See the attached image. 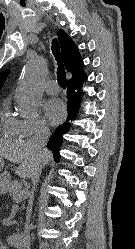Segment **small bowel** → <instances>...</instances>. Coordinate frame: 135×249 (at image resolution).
<instances>
[{
  "instance_id": "small-bowel-1",
  "label": "small bowel",
  "mask_w": 135,
  "mask_h": 249,
  "mask_svg": "<svg viewBox=\"0 0 135 249\" xmlns=\"http://www.w3.org/2000/svg\"><path fill=\"white\" fill-rule=\"evenodd\" d=\"M0 249H6V248L0 243Z\"/></svg>"
}]
</instances>
